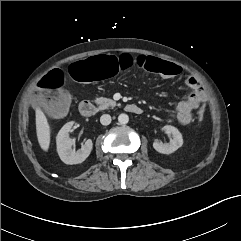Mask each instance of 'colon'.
Listing matches in <instances>:
<instances>
[{
    "label": "colon",
    "instance_id": "1",
    "mask_svg": "<svg viewBox=\"0 0 241 241\" xmlns=\"http://www.w3.org/2000/svg\"><path fill=\"white\" fill-rule=\"evenodd\" d=\"M137 66H144L163 79H180L184 70L171 62L161 61L156 58H137L133 53L125 51L122 53L109 51L92 55L85 60L72 63L68 69L70 80L76 84L94 83L105 80L112 75L131 73ZM64 83V75L61 70H54L38 83L35 101L43 109L55 115H61L69 102V96L64 93H53L42 95V93L59 90ZM202 108L198 114L201 121L204 117Z\"/></svg>",
    "mask_w": 241,
    "mask_h": 241
}]
</instances>
